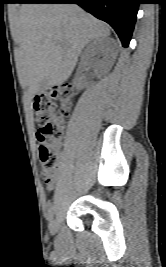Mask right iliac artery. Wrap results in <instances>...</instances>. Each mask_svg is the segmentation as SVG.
Returning a JSON list of instances; mask_svg holds the SVG:
<instances>
[{
  "instance_id": "1",
  "label": "right iliac artery",
  "mask_w": 166,
  "mask_h": 267,
  "mask_svg": "<svg viewBox=\"0 0 166 267\" xmlns=\"http://www.w3.org/2000/svg\"><path fill=\"white\" fill-rule=\"evenodd\" d=\"M54 206L51 205L49 210H48V220H51L53 218V215H54Z\"/></svg>"
}]
</instances>
